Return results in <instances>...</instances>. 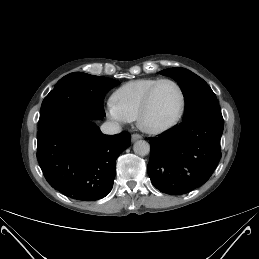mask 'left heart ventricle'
<instances>
[{
  "label": "left heart ventricle",
  "mask_w": 259,
  "mask_h": 259,
  "mask_svg": "<svg viewBox=\"0 0 259 259\" xmlns=\"http://www.w3.org/2000/svg\"><path fill=\"white\" fill-rule=\"evenodd\" d=\"M180 97L176 87L168 82L160 84L154 92L146 123L161 126L171 121L177 114Z\"/></svg>",
  "instance_id": "left-heart-ventricle-1"
}]
</instances>
